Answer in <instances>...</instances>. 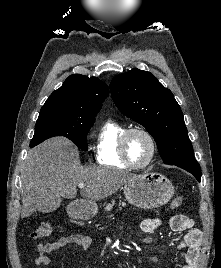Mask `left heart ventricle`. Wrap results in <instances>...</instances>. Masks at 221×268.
Instances as JSON below:
<instances>
[{"label": "left heart ventricle", "mask_w": 221, "mask_h": 268, "mask_svg": "<svg viewBox=\"0 0 221 268\" xmlns=\"http://www.w3.org/2000/svg\"><path fill=\"white\" fill-rule=\"evenodd\" d=\"M127 152L131 162L141 165L149 159L151 144L145 135L136 132L128 138Z\"/></svg>", "instance_id": "b2bd125f"}]
</instances>
